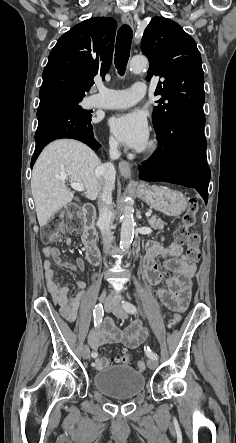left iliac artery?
<instances>
[{
    "instance_id": "obj_1",
    "label": "left iliac artery",
    "mask_w": 236,
    "mask_h": 443,
    "mask_svg": "<svg viewBox=\"0 0 236 443\" xmlns=\"http://www.w3.org/2000/svg\"><path fill=\"white\" fill-rule=\"evenodd\" d=\"M123 308L126 312L130 313V314H136L137 313V308L134 304H132L131 302H123ZM145 349V353L146 355L150 358V359H158V355L154 352L151 351V349L147 346L144 347Z\"/></svg>"
}]
</instances>
